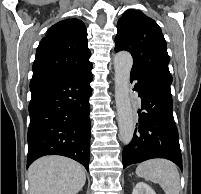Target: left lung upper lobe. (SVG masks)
<instances>
[{
    "label": "left lung upper lobe",
    "instance_id": "1",
    "mask_svg": "<svg viewBox=\"0 0 201 194\" xmlns=\"http://www.w3.org/2000/svg\"><path fill=\"white\" fill-rule=\"evenodd\" d=\"M115 51H129L134 59L131 72L155 76L172 83L166 41L158 24L138 10H126L117 23Z\"/></svg>",
    "mask_w": 201,
    "mask_h": 194
}]
</instances>
